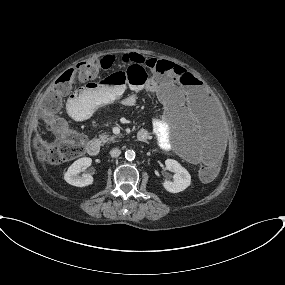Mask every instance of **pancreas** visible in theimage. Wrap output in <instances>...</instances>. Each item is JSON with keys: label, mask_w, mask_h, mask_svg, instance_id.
Instances as JSON below:
<instances>
[{"label": "pancreas", "mask_w": 285, "mask_h": 285, "mask_svg": "<svg viewBox=\"0 0 285 285\" xmlns=\"http://www.w3.org/2000/svg\"><path fill=\"white\" fill-rule=\"evenodd\" d=\"M116 138H117V136H115V135H109L108 133H103L102 135H100V140H101L103 143H106V142H113Z\"/></svg>", "instance_id": "obj_1"}]
</instances>
